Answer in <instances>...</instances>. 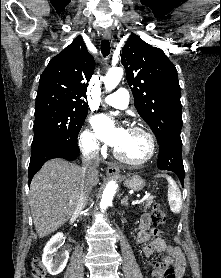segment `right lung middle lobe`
Returning <instances> with one entry per match:
<instances>
[{"mask_svg":"<svg viewBox=\"0 0 221 278\" xmlns=\"http://www.w3.org/2000/svg\"><path fill=\"white\" fill-rule=\"evenodd\" d=\"M87 110L72 107L42 106L35 108L34 138L31 146L52 137L77 140Z\"/></svg>","mask_w":221,"mask_h":278,"instance_id":"dd1d6c3e","label":"right lung middle lobe"}]
</instances>
